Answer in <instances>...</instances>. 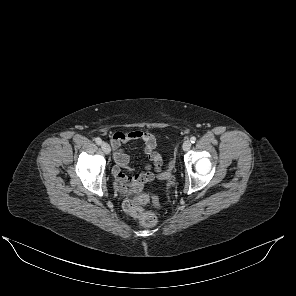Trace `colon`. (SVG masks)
<instances>
[{
    "label": "colon",
    "mask_w": 296,
    "mask_h": 296,
    "mask_svg": "<svg viewBox=\"0 0 296 296\" xmlns=\"http://www.w3.org/2000/svg\"><path fill=\"white\" fill-rule=\"evenodd\" d=\"M150 199L157 204V200L147 194H140L124 203L125 211L135 217L140 224L147 227L153 226L157 222V217L154 213L144 210V206Z\"/></svg>",
    "instance_id": "1"
}]
</instances>
